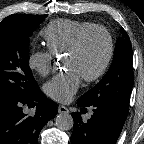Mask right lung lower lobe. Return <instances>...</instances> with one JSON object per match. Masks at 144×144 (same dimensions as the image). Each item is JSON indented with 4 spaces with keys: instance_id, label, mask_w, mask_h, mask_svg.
Instances as JSON below:
<instances>
[{
    "instance_id": "right-lung-lower-lobe-1",
    "label": "right lung lower lobe",
    "mask_w": 144,
    "mask_h": 144,
    "mask_svg": "<svg viewBox=\"0 0 144 144\" xmlns=\"http://www.w3.org/2000/svg\"><path fill=\"white\" fill-rule=\"evenodd\" d=\"M25 104L36 106L34 116L23 112ZM56 114V103L44 99L41 90L25 100L0 105V144H38L41 129Z\"/></svg>"
}]
</instances>
